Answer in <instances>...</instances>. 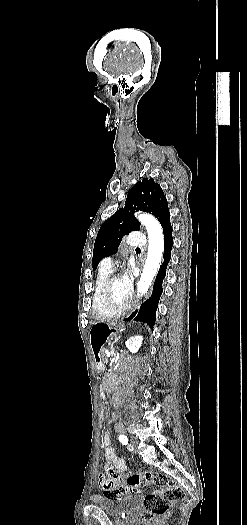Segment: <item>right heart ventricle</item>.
Returning <instances> with one entry per match:
<instances>
[{
  "label": "right heart ventricle",
  "mask_w": 247,
  "mask_h": 525,
  "mask_svg": "<svg viewBox=\"0 0 247 525\" xmlns=\"http://www.w3.org/2000/svg\"><path fill=\"white\" fill-rule=\"evenodd\" d=\"M112 269L108 259H104L100 264V270L96 280V286L92 293V310L94 317H112V312L103 308L99 297L98 289L100 285L111 276Z\"/></svg>",
  "instance_id": "e07e8e85"
}]
</instances>
